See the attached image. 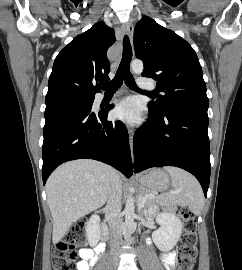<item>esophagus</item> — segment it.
<instances>
[{
	"label": "esophagus",
	"instance_id": "esophagus-1",
	"mask_svg": "<svg viewBox=\"0 0 242 270\" xmlns=\"http://www.w3.org/2000/svg\"><path fill=\"white\" fill-rule=\"evenodd\" d=\"M124 31L126 32L127 36L129 37L130 42H132L133 31H134V25H133L132 21H128L126 23V25L124 26ZM128 134H129L131 155H132V158H133V136H134V131H133L132 128H128Z\"/></svg>",
	"mask_w": 242,
	"mask_h": 270
}]
</instances>
